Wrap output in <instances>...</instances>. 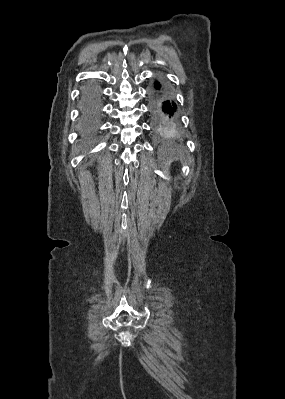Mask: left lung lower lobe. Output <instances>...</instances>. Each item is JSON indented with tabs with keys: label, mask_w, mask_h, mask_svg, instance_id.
I'll use <instances>...</instances> for the list:
<instances>
[{
	"label": "left lung lower lobe",
	"mask_w": 285,
	"mask_h": 399,
	"mask_svg": "<svg viewBox=\"0 0 285 399\" xmlns=\"http://www.w3.org/2000/svg\"><path fill=\"white\" fill-rule=\"evenodd\" d=\"M150 101L156 132L166 138L180 137V130L175 118L176 104L172 101L168 89L158 81L154 83Z\"/></svg>",
	"instance_id": "obj_1"
}]
</instances>
